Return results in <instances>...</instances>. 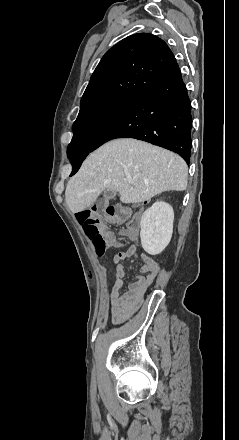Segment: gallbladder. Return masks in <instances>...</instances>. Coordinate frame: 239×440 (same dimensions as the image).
<instances>
[{"mask_svg": "<svg viewBox=\"0 0 239 440\" xmlns=\"http://www.w3.org/2000/svg\"><path fill=\"white\" fill-rule=\"evenodd\" d=\"M103 196L105 200H112V198H115L116 192L115 190H105Z\"/></svg>", "mask_w": 239, "mask_h": 440, "instance_id": "1", "label": "gallbladder"}]
</instances>
